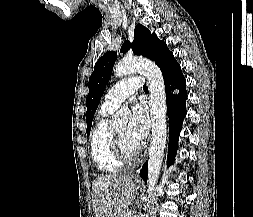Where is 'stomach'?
<instances>
[{
  "instance_id": "0dacf381",
  "label": "stomach",
  "mask_w": 253,
  "mask_h": 217,
  "mask_svg": "<svg viewBox=\"0 0 253 217\" xmlns=\"http://www.w3.org/2000/svg\"><path fill=\"white\" fill-rule=\"evenodd\" d=\"M133 185H134L135 189H138L140 187V184H138V183H135Z\"/></svg>"
}]
</instances>
